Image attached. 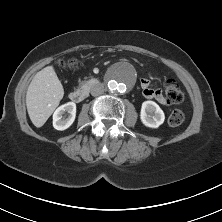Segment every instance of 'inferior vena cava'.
Returning a JSON list of instances; mask_svg holds the SVG:
<instances>
[{
    "label": "inferior vena cava",
    "instance_id": "inferior-vena-cava-1",
    "mask_svg": "<svg viewBox=\"0 0 222 222\" xmlns=\"http://www.w3.org/2000/svg\"><path fill=\"white\" fill-rule=\"evenodd\" d=\"M90 91L92 96H98L104 93L105 87L103 84L99 83L94 85Z\"/></svg>",
    "mask_w": 222,
    "mask_h": 222
}]
</instances>
